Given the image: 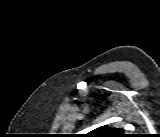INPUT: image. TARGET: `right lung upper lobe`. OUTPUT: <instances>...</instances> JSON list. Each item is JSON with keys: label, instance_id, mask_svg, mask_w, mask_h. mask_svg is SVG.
<instances>
[{"label": "right lung upper lobe", "instance_id": "right-lung-upper-lobe-1", "mask_svg": "<svg viewBox=\"0 0 160 137\" xmlns=\"http://www.w3.org/2000/svg\"><path fill=\"white\" fill-rule=\"evenodd\" d=\"M90 135L99 137L122 136L123 130L120 128L102 126L90 132Z\"/></svg>", "mask_w": 160, "mask_h": 137}]
</instances>
